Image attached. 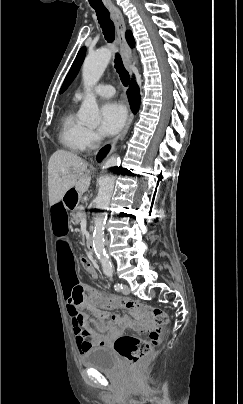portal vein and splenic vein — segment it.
Here are the masks:
<instances>
[{"instance_id":"1","label":"portal vein and splenic vein","mask_w":243,"mask_h":404,"mask_svg":"<svg viewBox=\"0 0 243 404\" xmlns=\"http://www.w3.org/2000/svg\"><path fill=\"white\" fill-rule=\"evenodd\" d=\"M85 210H84V208H82L79 212H77V215H79L81 218H84L85 217Z\"/></svg>"}]
</instances>
